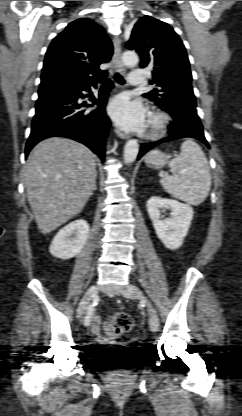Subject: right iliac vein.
<instances>
[{
  "label": "right iliac vein",
  "instance_id": "63e3f726",
  "mask_svg": "<svg viewBox=\"0 0 242 416\" xmlns=\"http://www.w3.org/2000/svg\"><path fill=\"white\" fill-rule=\"evenodd\" d=\"M98 294V288L96 286H92L88 289L84 297L82 298L78 310H77V317H82L84 312L87 310L90 301L96 297Z\"/></svg>",
  "mask_w": 242,
  "mask_h": 416
}]
</instances>
